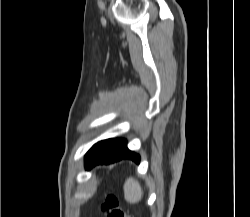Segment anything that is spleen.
I'll return each instance as SVG.
<instances>
[{"mask_svg": "<svg viewBox=\"0 0 250 217\" xmlns=\"http://www.w3.org/2000/svg\"><path fill=\"white\" fill-rule=\"evenodd\" d=\"M124 198L130 204H136L141 201L143 189L138 181L134 178H128L123 186Z\"/></svg>", "mask_w": 250, "mask_h": 217, "instance_id": "obj_1", "label": "spleen"}]
</instances>
